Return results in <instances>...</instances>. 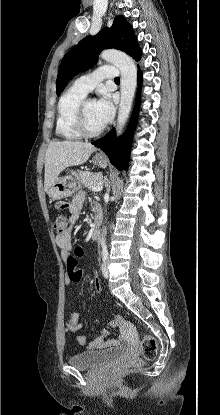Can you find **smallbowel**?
<instances>
[{
    "label": "small bowel",
    "instance_id": "1",
    "mask_svg": "<svg viewBox=\"0 0 220 415\" xmlns=\"http://www.w3.org/2000/svg\"><path fill=\"white\" fill-rule=\"evenodd\" d=\"M83 202H84V193L83 192L77 193L74 196L73 200L71 201L70 205L68 206V211L70 213L69 227L67 228L65 232L58 234L56 236V243L60 247L62 254L64 256H66L69 253V251L72 249L71 231L81 214ZM98 213H100V210L98 206H96L95 215ZM92 278H93L92 280H93L95 288L98 291H101L102 286H101L100 280L94 274L92 275ZM67 328L70 332H74V333L81 329V324L78 322V315L76 313H73L70 315L68 319V323H67ZM108 336H109L108 330L102 329L100 331L99 336L91 342H88L87 337L82 334H79L77 336V341L79 344L86 346L87 349L89 350L105 349V348H110V347L120 345L119 340H111L108 338Z\"/></svg>",
    "mask_w": 220,
    "mask_h": 415
}]
</instances>
